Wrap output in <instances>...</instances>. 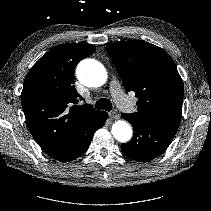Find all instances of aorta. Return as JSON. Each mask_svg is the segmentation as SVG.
Here are the masks:
<instances>
[{
  "label": "aorta",
  "instance_id": "762f6f07",
  "mask_svg": "<svg viewBox=\"0 0 211 211\" xmlns=\"http://www.w3.org/2000/svg\"><path fill=\"white\" fill-rule=\"evenodd\" d=\"M78 80L88 87L102 86L107 80L105 67L94 59H85L79 63L76 69ZM113 137L119 142H127L132 136L131 126L123 120L115 122L111 128Z\"/></svg>",
  "mask_w": 211,
  "mask_h": 211
}]
</instances>
